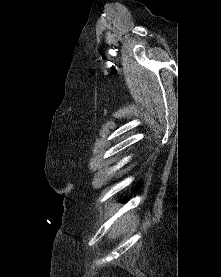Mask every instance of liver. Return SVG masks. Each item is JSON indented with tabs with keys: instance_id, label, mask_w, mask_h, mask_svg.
Listing matches in <instances>:
<instances>
[{
	"instance_id": "liver-1",
	"label": "liver",
	"mask_w": 221,
	"mask_h": 277,
	"mask_svg": "<svg viewBox=\"0 0 221 277\" xmlns=\"http://www.w3.org/2000/svg\"><path fill=\"white\" fill-rule=\"evenodd\" d=\"M134 218L133 215H126L124 216L121 221L119 222L118 229H116V233L119 234L122 231H125L127 227H129V224L131 222V219Z\"/></svg>"
}]
</instances>
